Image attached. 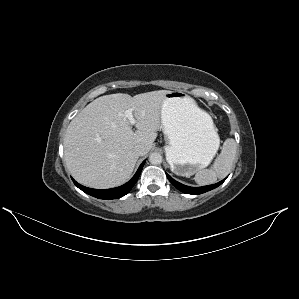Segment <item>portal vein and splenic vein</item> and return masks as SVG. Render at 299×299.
<instances>
[{"label":"portal vein and splenic vein","mask_w":299,"mask_h":299,"mask_svg":"<svg viewBox=\"0 0 299 299\" xmlns=\"http://www.w3.org/2000/svg\"><path fill=\"white\" fill-rule=\"evenodd\" d=\"M124 116L129 120L131 125H134L136 123V120L133 116V110L132 109H128L125 111Z\"/></svg>","instance_id":"1"}]
</instances>
